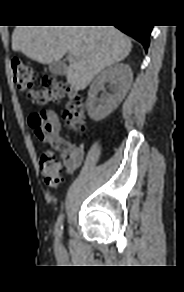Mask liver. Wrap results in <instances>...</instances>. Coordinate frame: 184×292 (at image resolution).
Listing matches in <instances>:
<instances>
[{
    "label": "liver",
    "instance_id": "liver-1",
    "mask_svg": "<svg viewBox=\"0 0 184 292\" xmlns=\"http://www.w3.org/2000/svg\"><path fill=\"white\" fill-rule=\"evenodd\" d=\"M130 39L114 26H17L12 49L41 64L72 54L66 79L75 90L85 89L108 66L125 59Z\"/></svg>",
    "mask_w": 184,
    "mask_h": 292
}]
</instances>
